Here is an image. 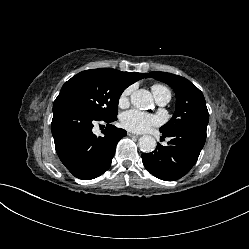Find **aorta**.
Segmentation results:
<instances>
[{
    "label": "aorta",
    "mask_w": 249,
    "mask_h": 249,
    "mask_svg": "<svg viewBox=\"0 0 249 249\" xmlns=\"http://www.w3.org/2000/svg\"><path fill=\"white\" fill-rule=\"evenodd\" d=\"M131 103L134 107L139 109H146L152 106L153 98L149 91L139 89L131 94ZM156 147V140L149 135H144L139 139V148L141 151L149 153Z\"/></svg>",
    "instance_id": "1"
}]
</instances>
